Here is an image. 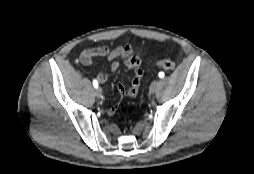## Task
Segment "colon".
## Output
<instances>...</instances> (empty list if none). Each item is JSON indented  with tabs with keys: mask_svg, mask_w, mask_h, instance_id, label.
<instances>
[{
	"mask_svg": "<svg viewBox=\"0 0 254 174\" xmlns=\"http://www.w3.org/2000/svg\"><path fill=\"white\" fill-rule=\"evenodd\" d=\"M157 66L163 70H174L175 62L170 59H162L157 62Z\"/></svg>",
	"mask_w": 254,
	"mask_h": 174,
	"instance_id": "5ec220e1",
	"label": "colon"
}]
</instances>
